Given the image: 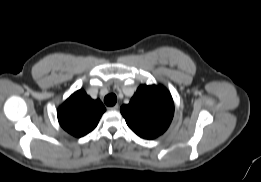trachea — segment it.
Segmentation results:
<instances>
[{
	"mask_svg": "<svg viewBox=\"0 0 261 182\" xmlns=\"http://www.w3.org/2000/svg\"><path fill=\"white\" fill-rule=\"evenodd\" d=\"M117 102V97L115 94H109L107 95L105 98H104V103L107 105V106H113L115 105V103Z\"/></svg>",
	"mask_w": 261,
	"mask_h": 182,
	"instance_id": "trachea-1",
	"label": "trachea"
}]
</instances>
